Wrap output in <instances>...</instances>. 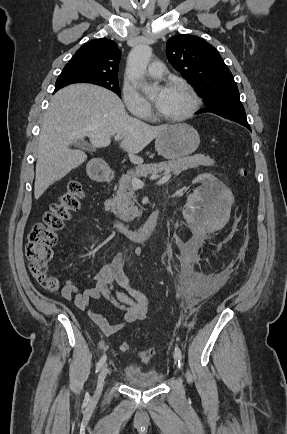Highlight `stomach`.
<instances>
[{
	"label": "stomach",
	"instance_id": "1",
	"mask_svg": "<svg viewBox=\"0 0 287 434\" xmlns=\"http://www.w3.org/2000/svg\"><path fill=\"white\" fill-rule=\"evenodd\" d=\"M200 144L198 132L180 123L168 126L155 140V149L166 159L175 160L192 154Z\"/></svg>",
	"mask_w": 287,
	"mask_h": 434
}]
</instances>
